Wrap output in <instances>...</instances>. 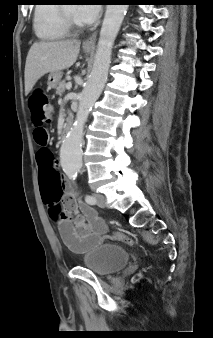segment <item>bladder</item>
I'll use <instances>...</instances> for the list:
<instances>
[{
  "mask_svg": "<svg viewBox=\"0 0 213 338\" xmlns=\"http://www.w3.org/2000/svg\"><path fill=\"white\" fill-rule=\"evenodd\" d=\"M130 261L129 251L122 245H100L82 258L83 266L95 275L106 277L123 269Z\"/></svg>",
  "mask_w": 213,
  "mask_h": 338,
  "instance_id": "1",
  "label": "bladder"
}]
</instances>
